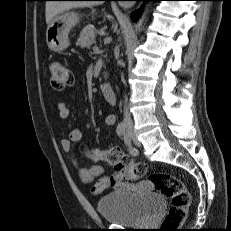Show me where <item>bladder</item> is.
I'll return each mask as SVG.
<instances>
[{
  "instance_id": "31cf9c89",
  "label": "bladder",
  "mask_w": 231,
  "mask_h": 231,
  "mask_svg": "<svg viewBox=\"0 0 231 231\" xmlns=\"http://www.w3.org/2000/svg\"><path fill=\"white\" fill-rule=\"evenodd\" d=\"M165 208L164 197L157 193L112 192L97 203L98 212L105 221L122 226L144 225Z\"/></svg>"
}]
</instances>
